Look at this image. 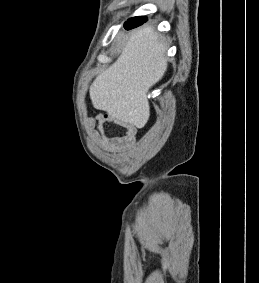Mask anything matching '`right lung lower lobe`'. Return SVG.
Instances as JSON below:
<instances>
[{
    "instance_id": "98d812e1",
    "label": "right lung lower lobe",
    "mask_w": 259,
    "mask_h": 283,
    "mask_svg": "<svg viewBox=\"0 0 259 283\" xmlns=\"http://www.w3.org/2000/svg\"><path fill=\"white\" fill-rule=\"evenodd\" d=\"M146 20L147 19L142 16L134 17V18L128 19V21L125 22L124 27L125 29L130 30L132 28H136L142 25Z\"/></svg>"
}]
</instances>
